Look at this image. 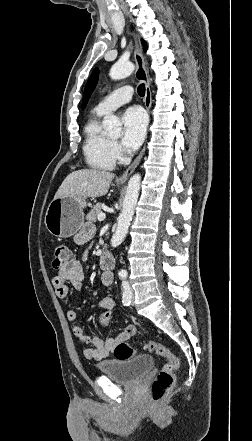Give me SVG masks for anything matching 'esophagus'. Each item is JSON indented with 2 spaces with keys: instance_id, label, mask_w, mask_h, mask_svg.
Masks as SVG:
<instances>
[{
  "instance_id": "esophagus-1",
  "label": "esophagus",
  "mask_w": 252,
  "mask_h": 441,
  "mask_svg": "<svg viewBox=\"0 0 252 441\" xmlns=\"http://www.w3.org/2000/svg\"><path fill=\"white\" fill-rule=\"evenodd\" d=\"M135 61H136V72L135 76L139 81H142L145 84V97H144V103L147 111H150L151 104H152V94L151 89L149 85L148 75L145 67V59L142 53L140 42L136 41V48L134 53ZM145 152V146L139 153V155L136 157V159L133 161V163L127 168V170L119 177L118 181L125 182L129 176L133 173V171L138 166L139 162L141 161L143 155Z\"/></svg>"
}]
</instances>
